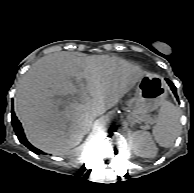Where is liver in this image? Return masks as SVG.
<instances>
[{
	"label": "liver",
	"mask_w": 194,
	"mask_h": 193,
	"mask_svg": "<svg viewBox=\"0 0 194 193\" xmlns=\"http://www.w3.org/2000/svg\"><path fill=\"white\" fill-rule=\"evenodd\" d=\"M142 76L139 67L116 56L78 57L65 51L49 54L36 61L19 81L15 112L32 145L63 155L82 141L93 109L105 112L115 106ZM74 80L77 84L85 80L86 87ZM79 88L90 97L60 111L61 98Z\"/></svg>",
	"instance_id": "1"
}]
</instances>
